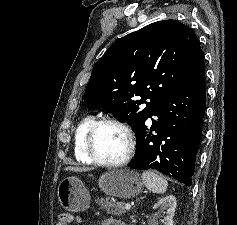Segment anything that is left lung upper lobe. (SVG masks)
Masks as SVG:
<instances>
[{"label": "left lung upper lobe", "mask_w": 237, "mask_h": 225, "mask_svg": "<svg viewBox=\"0 0 237 225\" xmlns=\"http://www.w3.org/2000/svg\"><path fill=\"white\" fill-rule=\"evenodd\" d=\"M204 80L195 33L176 20L158 21L109 47L93 67L84 101L113 113L135 132L160 99Z\"/></svg>", "instance_id": "1"}]
</instances>
